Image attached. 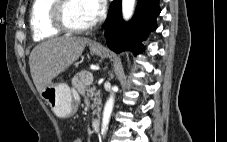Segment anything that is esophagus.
I'll return each instance as SVG.
<instances>
[{
    "instance_id": "obj_1",
    "label": "esophagus",
    "mask_w": 227,
    "mask_h": 142,
    "mask_svg": "<svg viewBox=\"0 0 227 142\" xmlns=\"http://www.w3.org/2000/svg\"><path fill=\"white\" fill-rule=\"evenodd\" d=\"M93 46L98 47V48H103V44L101 42H94Z\"/></svg>"
}]
</instances>
